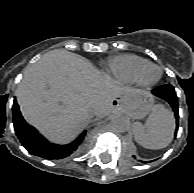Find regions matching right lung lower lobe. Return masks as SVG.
<instances>
[{"label": "right lung lower lobe", "mask_w": 194, "mask_h": 193, "mask_svg": "<svg viewBox=\"0 0 194 193\" xmlns=\"http://www.w3.org/2000/svg\"><path fill=\"white\" fill-rule=\"evenodd\" d=\"M13 123L17 137L28 152L49 160L62 159L75 153L86 133L84 131L74 142L65 146L51 144L25 122L16 100L13 104Z\"/></svg>", "instance_id": "1"}]
</instances>
